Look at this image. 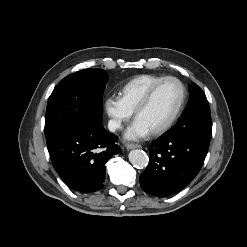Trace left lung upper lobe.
<instances>
[{"label":"left lung upper lobe","instance_id":"obj_1","mask_svg":"<svg viewBox=\"0 0 247 247\" xmlns=\"http://www.w3.org/2000/svg\"><path fill=\"white\" fill-rule=\"evenodd\" d=\"M189 91L190 100L185 110L168 132L211 139L212 121L206 96L196 84L191 85Z\"/></svg>","mask_w":247,"mask_h":247}]
</instances>
